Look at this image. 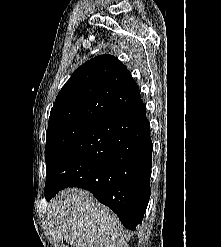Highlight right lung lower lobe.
I'll use <instances>...</instances> for the list:
<instances>
[{"label": "right lung lower lobe", "mask_w": 221, "mask_h": 247, "mask_svg": "<svg viewBox=\"0 0 221 247\" xmlns=\"http://www.w3.org/2000/svg\"><path fill=\"white\" fill-rule=\"evenodd\" d=\"M152 141L145 105L89 128L63 152L46 178L49 201L66 187L90 191L130 230L143 220L150 198Z\"/></svg>", "instance_id": "98d812e1"}]
</instances>
